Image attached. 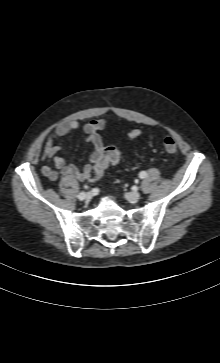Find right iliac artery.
<instances>
[{"label":"right iliac artery","instance_id":"obj_1","mask_svg":"<svg viewBox=\"0 0 220 363\" xmlns=\"http://www.w3.org/2000/svg\"><path fill=\"white\" fill-rule=\"evenodd\" d=\"M85 197V192H81L79 195H78V198L79 200H83Z\"/></svg>","mask_w":220,"mask_h":363}]
</instances>
